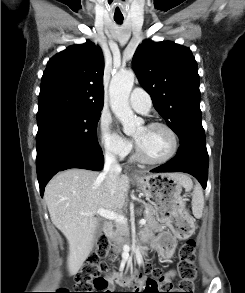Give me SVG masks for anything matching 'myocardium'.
<instances>
[{"mask_svg":"<svg viewBox=\"0 0 245 293\" xmlns=\"http://www.w3.org/2000/svg\"><path fill=\"white\" fill-rule=\"evenodd\" d=\"M148 128H161V129L166 130L169 133L170 137H171V143H172L171 150L163 158L150 159V158H147L141 152L139 145L136 144V157H137V159L139 161L143 162V163L150 164V165L163 164V163H166V162L170 161L171 159H173L175 157V155L177 154L178 149H179V139H178V135L175 132V130L171 126H169L167 124H164V123H160V122L151 123V124L148 125Z\"/></svg>","mask_w":245,"mask_h":293,"instance_id":"f54148a6","label":"myocardium"}]
</instances>
